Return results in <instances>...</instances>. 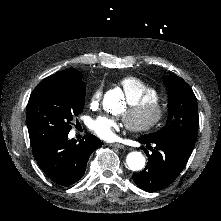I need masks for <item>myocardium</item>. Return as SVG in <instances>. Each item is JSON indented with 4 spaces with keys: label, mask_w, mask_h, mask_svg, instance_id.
Instances as JSON below:
<instances>
[{
    "label": "myocardium",
    "mask_w": 221,
    "mask_h": 221,
    "mask_svg": "<svg viewBox=\"0 0 221 221\" xmlns=\"http://www.w3.org/2000/svg\"><path fill=\"white\" fill-rule=\"evenodd\" d=\"M171 114L168 101L155 95L147 102L136 103L126 114V126L136 133H149L164 127Z\"/></svg>",
    "instance_id": "f54148a6"
}]
</instances>
